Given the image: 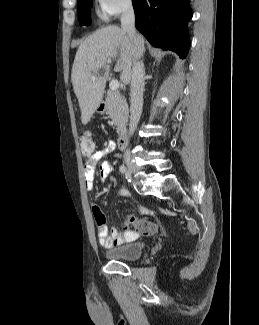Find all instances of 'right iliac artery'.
I'll return each instance as SVG.
<instances>
[{"mask_svg": "<svg viewBox=\"0 0 259 325\" xmlns=\"http://www.w3.org/2000/svg\"><path fill=\"white\" fill-rule=\"evenodd\" d=\"M124 170H127L126 166L125 165H121L120 166V171L123 173Z\"/></svg>", "mask_w": 259, "mask_h": 325, "instance_id": "obj_1", "label": "right iliac artery"}]
</instances>
